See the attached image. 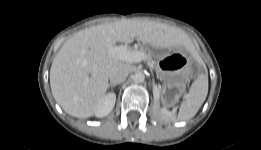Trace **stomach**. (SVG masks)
<instances>
[{"label": "stomach", "instance_id": "0dacf381", "mask_svg": "<svg viewBox=\"0 0 261 150\" xmlns=\"http://www.w3.org/2000/svg\"><path fill=\"white\" fill-rule=\"evenodd\" d=\"M157 56L156 70L161 80L168 87H182L184 86L190 68V61L188 57L180 52L171 54L154 51Z\"/></svg>", "mask_w": 261, "mask_h": 150}]
</instances>
